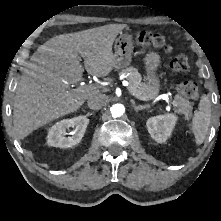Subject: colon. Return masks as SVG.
Here are the masks:
<instances>
[{
  "mask_svg": "<svg viewBox=\"0 0 221 221\" xmlns=\"http://www.w3.org/2000/svg\"><path fill=\"white\" fill-rule=\"evenodd\" d=\"M136 43L143 47L159 48L166 52L172 51V46L160 33L141 32L136 37ZM170 70L174 74H186L189 71V63L186 56L177 55L174 57L170 62ZM176 90L179 94L189 100H196L199 95L197 85L191 81H184L177 84Z\"/></svg>",
  "mask_w": 221,
  "mask_h": 221,
  "instance_id": "1",
  "label": "colon"
}]
</instances>
